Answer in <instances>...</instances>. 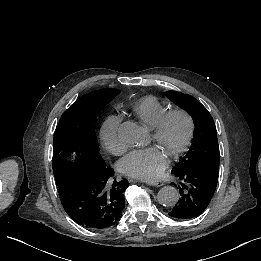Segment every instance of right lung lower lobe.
Instances as JSON below:
<instances>
[{
    "label": "right lung lower lobe",
    "instance_id": "98d812e1",
    "mask_svg": "<svg viewBox=\"0 0 261 261\" xmlns=\"http://www.w3.org/2000/svg\"><path fill=\"white\" fill-rule=\"evenodd\" d=\"M114 171L106 164L94 169L76 168L59 187L66 213L81 226L104 229L116 224L125 209L127 180H113Z\"/></svg>",
    "mask_w": 261,
    "mask_h": 261
}]
</instances>
